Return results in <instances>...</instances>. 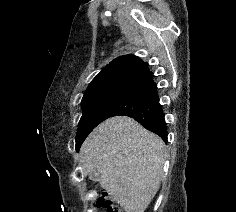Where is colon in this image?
<instances>
[{"mask_svg": "<svg viewBox=\"0 0 236 212\" xmlns=\"http://www.w3.org/2000/svg\"><path fill=\"white\" fill-rule=\"evenodd\" d=\"M97 204L104 207L107 212H123L115 203L108 192H103L97 199Z\"/></svg>", "mask_w": 236, "mask_h": 212, "instance_id": "obj_1", "label": "colon"}]
</instances>
